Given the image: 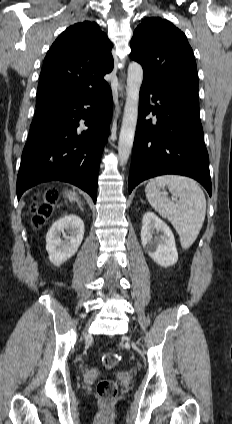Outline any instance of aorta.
<instances>
[{
  "label": "aorta",
  "mask_w": 232,
  "mask_h": 424,
  "mask_svg": "<svg viewBox=\"0 0 232 424\" xmlns=\"http://www.w3.org/2000/svg\"><path fill=\"white\" fill-rule=\"evenodd\" d=\"M143 80L140 64L132 62L128 67L127 94L118 142V157L121 164L129 159L132 151L138 117L139 90Z\"/></svg>",
  "instance_id": "obj_1"
}]
</instances>
